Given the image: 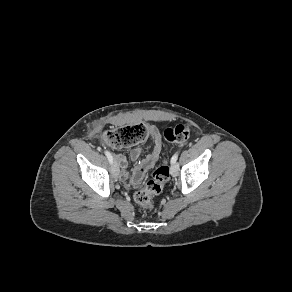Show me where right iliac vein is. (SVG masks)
Segmentation results:
<instances>
[{
    "instance_id": "1",
    "label": "right iliac vein",
    "mask_w": 292,
    "mask_h": 292,
    "mask_svg": "<svg viewBox=\"0 0 292 292\" xmlns=\"http://www.w3.org/2000/svg\"><path fill=\"white\" fill-rule=\"evenodd\" d=\"M111 171H112L113 176H115V177L118 176V174H119V167H118V164L116 162H113L112 163Z\"/></svg>"
}]
</instances>
